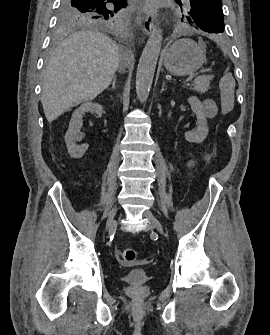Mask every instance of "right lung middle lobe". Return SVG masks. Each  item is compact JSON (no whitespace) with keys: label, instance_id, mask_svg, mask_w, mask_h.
<instances>
[{"label":"right lung middle lobe","instance_id":"obj_1","mask_svg":"<svg viewBox=\"0 0 270 335\" xmlns=\"http://www.w3.org/2000/svg\"><path fill=\"white\" fill-rule=\"evenodd\" d=\"M122 7H125L122 3L109 0H61L57 13V34L78 28L116 26L122 17L117 12Z\"/></svg>","mask_w":270,"mask_h":335}]
</instances>
